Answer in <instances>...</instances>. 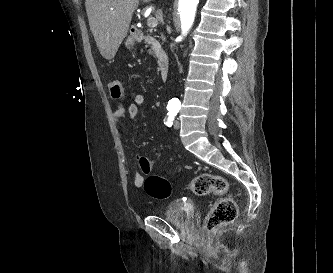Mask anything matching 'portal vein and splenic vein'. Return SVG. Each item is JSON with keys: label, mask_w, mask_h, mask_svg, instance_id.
Wrapping results in <instances>:
<instances>
[{"label": "portal vein and splenic vein", "mask_w": 333, "mask_h": 273, "mask_svg": "<svg viewBox=\"0 0 333 273\" xmlns=\"http://www.w3.org/2000/svg\"><path fill=\"white\" fill-rule=\"evenodd\" d=\"M112 10H113V8H112ZM147 25H148L149 27L154 28V27L157 26V20H156L154 17H149V18L147 19Z\"/></svg>", "instance_id": "portal-vein-and-splenic-vein-1"}]
</instances>
